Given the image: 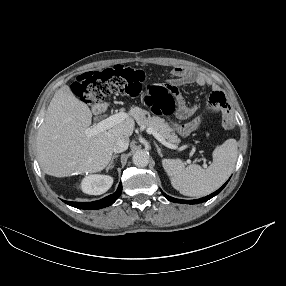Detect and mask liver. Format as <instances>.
Segmentation results:
<instances>
[{
	"label": "liver",
	"mask_w": 286,
	"mask_h": 286,
	"mask_svg": "<svg viewBox=\"0 0 286 286\" xmlns=\"http://www.w3.org/2000/svg\"><path fill=\"white\" fill-rule=\"evenodd\" d=\"M100 105H96L95 109ZM92 123L88 105L75 97L70 87L62 86L52 98L37 134V154L42 170L55 177L73 172L96 173L111 161L113 146L119 137L129 138L134 120L125 121L94 136L86 129Z\"/></svg>",
	"instance_id": "obj_1"
}]
</instances>
